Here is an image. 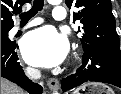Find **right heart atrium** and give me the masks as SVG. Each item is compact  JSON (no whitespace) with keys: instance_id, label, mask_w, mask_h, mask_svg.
Instances as JSON below:
<instances>
[{"instance_id":"right-heart-atrium-1","label":"right heart atrium","mask_w":121,"mask_h":94,"mask_svg":"<svg viewBox=\"0 0 121 94\" xmlns=\"http://www.w3.org/2000/svg\"><path fill=\"white\" fill-rule=\"evenodd\" d=\"M27 71H28V72H31V71H32V69H31V68H27Z\"/></svg>"}]
</instances>
